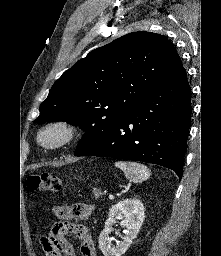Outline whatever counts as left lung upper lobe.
<instances>
[{
  "instance_id": "1",
  "label": "left lung upper lobe",
  "mask_w": 221,
  "mask_h": 256,
  "mask_svg": "<svg viewBox=\"0 0 221 256\" xmlns=\"http://www.w3.org/2000/svg\"><path fill=\"white\" fill-rule=\"evenodd\" d=\"M182 68L165 36L145 31L124 35L65 71L41 104L35 122L66 121L79 126L85 130L80 149Z\"/></svg>"
}]
</instances>
